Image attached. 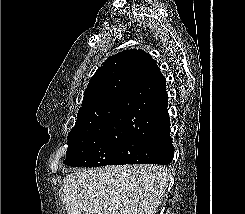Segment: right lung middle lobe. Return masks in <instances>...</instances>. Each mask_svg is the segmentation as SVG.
<instances>
[{"instance_id":"1","label":"right lung middle lobe","mask_w":245,"mask_h":214,"mask_svg":"<svg viewBox=\"0 0 245 214\" xmlns=\"http://www.w3.org/2000/svg\"><path fill=\"white\" fill-rule=\"evenodd\" d=\"M127 134V127L104 132L69 133L68 150L63 164L72 167L116 165L119 162L117 147Z\"/></svg>"}]
</instances>
